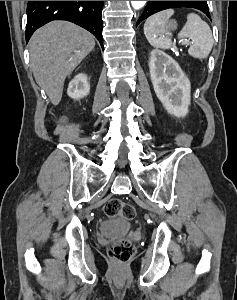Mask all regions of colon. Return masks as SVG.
<instances>
[{
    "label": "colon",
    "mask_w": 237,
    "mask_h": 300,
    "mask_svg": "<svg viewBox=\"0 0 237 300\" xmlns=\"http://www.w3.org/2000/svg\"><path fill=\"white\" fill-rule=\"evenodd\" d=\"M104 213L108 217L120 215L128 220L135 217V208L118 198H112L104 205ZM135 247L128 238L118 240L107 248L108 254L118 263L127 262L133 255Z\"/></svg>",
    "instance_id": "5ec220e1"
}]
</instances>
